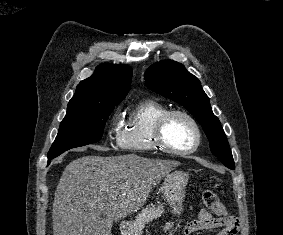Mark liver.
I'll list each match as a JSON object with an SVG mask.
<instances>
[{
	"label": "liver",
	"mask_w": 283,
	"mask_h": 235,
	"mask_svg": "<svg viewBox=\"0 0 283 235\" xmlns=\"http://www.w3.org/2000/svg\"><path fill=\"white\" fill-rule=\"evenodd\" d=\"M180 164L136 154L73 160L56 188L53 235H110L113 222L139 210L160 180Z\"/></svg>",
	"instance_id": "liver-1"
}]
</instances>
